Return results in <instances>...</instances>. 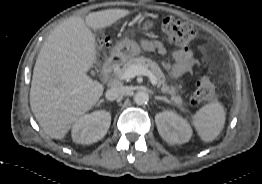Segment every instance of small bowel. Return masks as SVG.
Listing matches in <instances>:
<instances>
[{"instance_id": "c3829d8e", "label": "small bowel", "mask_w": 262, "mask_h": 184, "mask_svg": "<svg viewBox=\"0 0 262 184\" xmlns=\"http://www.w3.org/2000/svg\"><path fill=\"white\" fill-rule=\"evenodd\" d=\"M141 45L161 56H165L167 53L165 46L159 40H144ZM163 65L171 71L173 76L179 77L190 73L198 65V62L189 50L178 49L172 53L170 60L163 62Z\"/></svg>"}]
</instances>
